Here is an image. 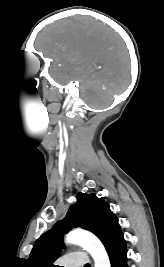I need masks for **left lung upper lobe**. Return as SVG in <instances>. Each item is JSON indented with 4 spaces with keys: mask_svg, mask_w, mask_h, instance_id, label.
I'll use <instances>...</instances> for the list:
<instances>
[{
    "mask_svg": "<svg viewBox=\"0 0 164 267\" xmlns=\"http://www.w3.org/2000/svg\"><path fill=\"white\" fill-rule=\"evenodd\" d=\"M77 226L94 233L102 243L120 227L117 217L103 198L79 193L77 203L69 208L66 217L35 242L28 259L30 267H55L52 263L63 247V235Z\"/></svg>",
    "mask_w": 164,
    "mask_h": 267,
    "instance_id": "1",
    "label": "left lung upper lobe"
}]
</instances>
